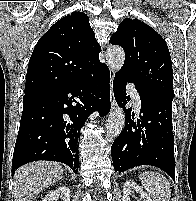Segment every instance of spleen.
Returning a JSON list of instances; mask_svg holds the SVG:
<instances>
[{
    "mask_svg": "<svg viewBox=\"0 0 196 201\" xmlns=\"http://www.w3.org/2000/svg\"><path fill=\"white\" fill-rule=\"evenodd\" d=\"M140 180L154 201H169L171 197L170 183L161 174L144 172Z\"/></svg>",
    "mask_w": 196,
    "mask_h": 201,
    "instance_id": "obj_1",
    "label": "spleen"
}]
</instances>
